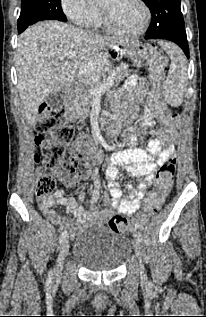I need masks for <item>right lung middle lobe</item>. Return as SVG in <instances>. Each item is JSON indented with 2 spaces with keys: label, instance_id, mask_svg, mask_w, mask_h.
Instances as JSON below:
<instances>
[{
  "label": "right lung middle lobe",
  "instance_id": "1",
  "mask_svg": "<svg viewBox=\"0 0 206 317\" xmlns=\"http://www.w3.org/2000/svg\"><path fill=\"white\" fill-rule=\"evenodd\" d=\"M42 20L67 21L61 8V0H22L18 19V32Z\"/></svg>",
  "mask_w": 206,
  "mask_h": 317
}]
</instances>
